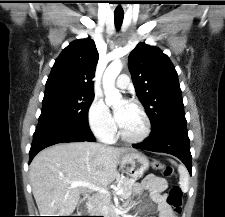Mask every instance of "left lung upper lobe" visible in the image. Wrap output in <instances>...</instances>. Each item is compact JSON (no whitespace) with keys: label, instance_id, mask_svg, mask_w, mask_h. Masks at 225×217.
I'll use <instances>...</instances> for the list:
<instances>
[{"label":"left lung upper lobe","instance_id":"1","mask_svg":"<svg viewBox=\"0 0 225 217\" xmlns=\"http://www.w3.org/2000/svg\"><path fill=\"white\" fill-rule=\"evenodd\" d=\"M128 67L152 129L185 119L178 75L167 55L157 47L139 43L128 57Z\"/></svg>","mask_w":225,"mask_h":217}]
</instances>
